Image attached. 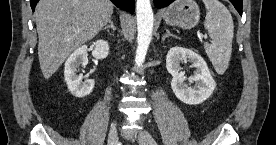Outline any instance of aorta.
Here are the masks:
<instances>
[{
	"mask_svg": "<svg viewBox=\"0 0 276 145\" xmlns=\"http://www.w3.org/2000/svg\"><path fill=\"white\" fill-rule=\"evenodd\" d=\"M136 17L138 35L135 64L136 67H141L152 38L153 11L150 0L136 1Z\"/></svg>",
	"mask_w": 276,
	"mask_h": 145,
	"instance_id": "aorta-1",
	"label": "aorta"
}]
</instances>
